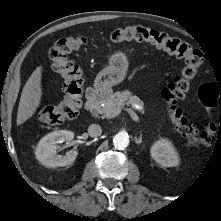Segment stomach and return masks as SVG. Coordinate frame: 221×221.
I'll use <instances>...</instances> for the list:
<instances>
[{
    "instance_id": "1",
    "label": "stomach",
    "mask_w": 221,
    "mask_h": 221,
    "mask_svg": "<svg viewBox=\"0 0 221 221\" xmlns=\"http://www.w3.org/2000/svg\"><path fill=\"white\" fill-rule=\"evenodd\" d=\"M128 70V59L126 55L117 51L109 58V65L101 70L95 78L94 86L97 90L108 92L111 88L121 83Z\"/></svg>"
}]
</instances>
